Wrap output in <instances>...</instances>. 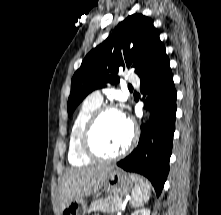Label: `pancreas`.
I'll return each instance as SVG.
<instances>
[{
    "mask_svg": "<svg viewBox=\"0 0 221 215\" xmlns=\"http://www.w3.org/2000/svg\"><path fill=\"white\" fill-rule=\"evenodd\" d=\"M121 200L118 196L107 197L105 199H100L94 201L90 206V211H101L104 213H115L121 208Z\"/></svg>",
    "mask_w": 221,
    "mask_h": 215,
    "instance_id": "obj_1",
    "label": "pancreas"
}]
</instances>
